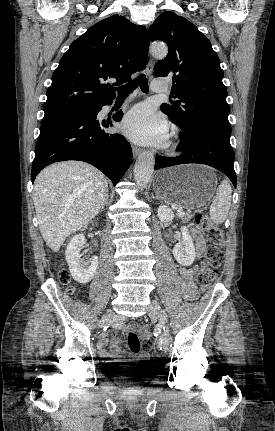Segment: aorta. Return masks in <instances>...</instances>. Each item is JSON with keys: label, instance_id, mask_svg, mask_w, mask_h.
Returning <instances> with one entry per match:
<instances>
[{"label": "aorta", "instance_id": "aorta-1", "mask_svg": "<svg viewBox=\"0 0 275 431\" xmlns=\"http://www.w3.org/2000/svg\"><path fill=\"white\" fill-rule=\"evenodd\" d=\"M151 54L157 58H163L168 53V48L162 44H153ZM155 160L152 153L143 152L137 159L134 167V178L139 186H146L154 171Z\"/></svg>", "mask_w": 275, "mask_h": 431}]
</instances>
